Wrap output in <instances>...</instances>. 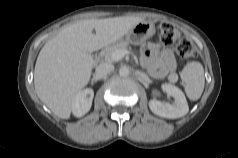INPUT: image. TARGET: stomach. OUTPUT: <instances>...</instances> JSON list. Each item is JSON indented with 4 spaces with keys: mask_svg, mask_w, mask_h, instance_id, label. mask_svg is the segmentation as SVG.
Instances as JSON below:
<instances>
[{
    "mask_svg": "<svg viewBox=\"0 0 238 158\" xmlns=\"http://www.w3.org/2000/svg\"><path fill=\"white\" fill-rule=\"evenodd\" d=\"M155 34V26L151 21H142L133 26L125 35L128 43L139 45Z\"/></svg>",
    "mask_w": 238,
    "mask_h": 158,
    "instance_id": "1",
    "label": "stomach"
}]
</instances>
